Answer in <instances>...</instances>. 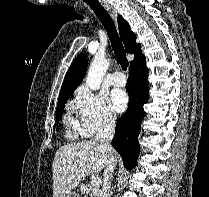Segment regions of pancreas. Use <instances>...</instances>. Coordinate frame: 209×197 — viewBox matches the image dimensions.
<instances>
[{"mask_svg": "<svg viewBox=\"0 0 209 197\" xmlns=\"http://www.w3.org/2000/svg\"><path fill=\"white\" fill-rule=\"evenodd\" d=\"M80 190L84 197H100V185H94L92 182L83 184Z\"/></svg>", "mask_w": 209, "mask_h": 197, "instance_id": "cf45deb5", "label": "pancreas"}]
</instances>
